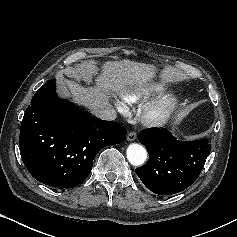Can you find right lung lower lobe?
I'll use <instances>...</instances> for the list:
<instances>
[{
	"mask_svg": "<svg viewBox=\"0 0 237 237\" xmlns=\"http://www.w3.org/2000/svg\"><path fill=\"white\" fill-rule=\"evenodd\" d=\"M126 133L123 125L89 117L71 102L59 99L52 79L35 93L25 111L20 154L39 182L73 188L89 176L98 152L121 143Z\"/></svg>",
	"mask_w": 237,
	"mask_h": 237,
	"instance_id": "1",
	"label": "right lung lower lobe"
}]
</instances>
